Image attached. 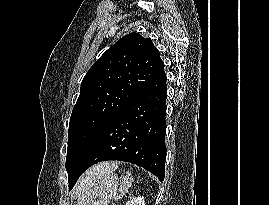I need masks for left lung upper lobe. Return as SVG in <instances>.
<instances>
[{"label":"left lung upper lobe","instance_id":"left-lung-upper-lobe-1","mask_svg":"<svg viewBox=\"0 0 269 205\" xmlns=\"http://www.w3.org/2000/svg\"><path fill=\"white\" fill-rule=\"evenodd\" d=\"M163 70L152 40L138 33L123 36L93 64L82 80L70 117L68 181L102 129Z\"/></svg>","mask_w":269,"mask_h":205}]
</instances>
